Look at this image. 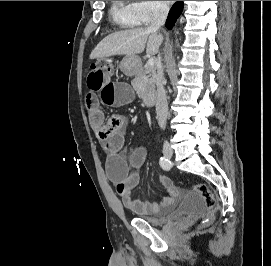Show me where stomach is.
Wrapping results in <instances>:
<instances>
[{"label":"stomach","instance_id":"obj_1","mask_svg":"<svg viewBox=\"0 0 271 266\" xmlns=\"http://www.w3.org/2000/svg\"><path fill=\"white\" fill-rule=\"evenodd\" d=\"M139 64V58L137 56H125L120 63V68L124 72L133 71Z\"/></svg>","mask_w":271,"mask_h":266}]
</instances>
